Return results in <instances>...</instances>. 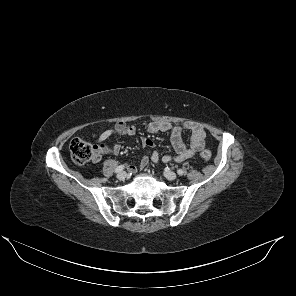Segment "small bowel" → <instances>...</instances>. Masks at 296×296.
I'll list each match as a JSON object with an SVG mask.
<instances>
[{
  "mask_svg": "<svg viewBox=\"0 0 296 296\" xmlns=\"http://www.w3.org/2000/svg\"><path fill=\"white\" fill-rule=\"evenodd\" d=\"M149 133L155 134L160 132L171 131V143L176 151V155H164L160 156L157 150L154 149L155 144L153 140L143 137V147L150 149V158L143 156L140 160V168L144 169L148 166L149 160L153 163H158L160 160L164 163L168 162H182L190 159L198 151L205 147V131L203 127L196 123L185 122L177 125H172L165 121H153L148 124L147 128ZM189 130L191 132L190 142L187 144L183 139V132ZM136 128L133 125L126 124L124 122L117 123L114 127L109 128L102 132L97 138V151L98 156L95 161H99L103 154L117 155L121 151V145L118 142H114L111 146H107L105 142L116 136H132L136 134ZM128 169L131 172H135L137 167L129 165Z\"/></svg>",
  "mask_w": 296,
  "mask_h": 296,
  "instance_id": "c3829d8e",
  "label": "small bowel"
}]
</instances>
